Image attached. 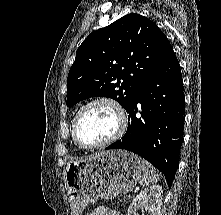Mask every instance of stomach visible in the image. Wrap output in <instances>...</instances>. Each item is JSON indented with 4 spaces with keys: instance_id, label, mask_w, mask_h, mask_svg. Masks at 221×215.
<instances>
[{
    "instance_id": "stomach-1",
    "label": "stomach",
    "mask_w": 221,
    "mask_h": 215,
    "mask_svg": "<svg viewBox=\"0 0 221 215\" xmlns=\"http://www.w3.org/2000/svg\"><path fill=\"white\" fill-rule=\"evenodd\" d=\"M141 177V159L125 150L99 152L67 163L64 178L72 215H81L98 198L110 200L131 192Z\"/></svg>"
}]
</instances>
